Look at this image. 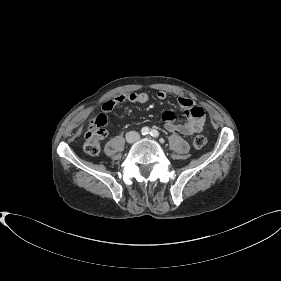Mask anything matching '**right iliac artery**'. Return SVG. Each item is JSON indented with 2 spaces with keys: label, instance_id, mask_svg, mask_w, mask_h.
I'll return each mask as SVG.
<instances>
[{
  "label": "right iliac artery",
  "instance_id": "right-iliac-artery-1",
  "mask_svg": "<svg viewBox=\"0 0 281 281\" xmlns=\"http://www.w3.org/2000/svg\"><path fill=\"white\" fill-rule=\"evenodd\" d=\"M149 133V128L148 127H143L142 129H141V134L142 135H147Z\"/></svg>",
  "mask_w": 281,
  "mask_h": 281
}]
</instances>
